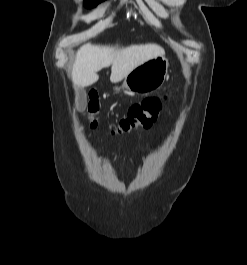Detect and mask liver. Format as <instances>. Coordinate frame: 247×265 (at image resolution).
<instances>
[{"instance_id":"6515ba94","label":"liver","mask_w":247,"mask_h":265,"mask_svg":"<svg viewBox=\"0 0 247 265\" xmlns=\"http://www.w3.org/2000/svg\"><path fill=\"white\" fill-rule=\"evenodd\" d=\"M163 55L164 49L154 43L122 48L87 43L77 52L72 69V81L76 87L90 86L98 81V71L111 66L110 81L117 83L139 65Z\"/></svg>"}]
</instances>
